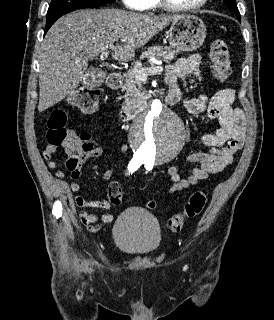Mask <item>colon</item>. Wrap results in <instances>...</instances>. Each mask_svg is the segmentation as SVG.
Wrapping results in <instances>:
<instances>
[{"label": "colon", "mask_w": 274, "mask_h": 320, "mask_svg": "<svg viewBox=\"0 0 274 320\" xmlns=\"http://www.w3.org/2000/svg\"><path fill=\"white\" fill-rule=\"evenodd\" d=\"M210 61L214 75L219 81H229L233 73V63L229 47L222 40L213 42L210 47ZM99 92L95 87L78 88L70 93L67 107L59 106L53 109L47 120V143H57V149L64 148L72 153L66 161V168L76 171L80 167L79 159L83 153L92 148L91 135L87 132L76 133L67 127V109H78L83 113L96 110ZM109 199L113 205L122 202L121 183L108 182ZM207 202L206 190H195L189 200L184 204L181 212L171 216L166 224L167 230L172 233L181 231L183 222L197 217L204 209ZM149 209H155L157 202L153 199L146 202Z\"/></svg>", "instance_id": "obj_1"}]
</instances>
